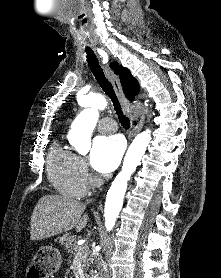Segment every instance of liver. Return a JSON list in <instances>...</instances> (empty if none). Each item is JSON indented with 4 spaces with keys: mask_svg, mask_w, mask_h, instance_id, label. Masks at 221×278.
Segmentation results:
<instances>
[{
    "mask_svg": "<svg viewBox=\"0 0 221 278\" xmlns=\"http://www.w3.org/2000/svg\"><path fill=\"white\" fill-rule=\"evenodd\" d=\"M86 204L62 195H44L31 216V240L40 241L76 228L80 232L89 217Z\"/></svg>",
    "mask_w": 221,
    "mask_h": 278,
    "instance_id": "obj_1",
    "label": "liver"
}]
</instances>
